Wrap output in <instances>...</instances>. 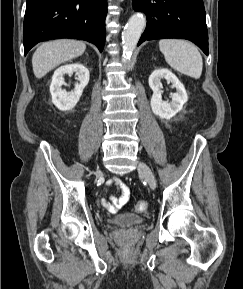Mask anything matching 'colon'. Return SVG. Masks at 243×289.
Masks as SVG:
<instances>
[{
  "instance_id": "1",
  "label": "colon",
  "mask_w": 243,
  "mask_h": 289,
  "mask_svg": "<svg viewBox=\"0 0 243 289\" xmlns=\"http://www.w3.org/2000/svg\"><path fill=\"white\" fill-rule=\"evenodd\" d=\"M147 208L148 204L146 201L143 200L136 202L134 205V209L138 213H144L147 210Z\"/></svg>"
}]
</instances>
